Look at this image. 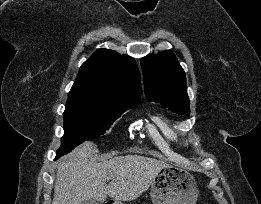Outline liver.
I'll use <instances>...</instances> for the list:
<instances>
[{"label":"liver","mask_w":261,"mask_h":204,"mask_svg":"<svg viewBox=\"0 0 261 204\" xmlns=\"http://www.w3.org/2000/svg\"><path fill=\"white\" fill-rule=\"evenodd\" d=\"M98 149L87 141L57 163L52 204H82L87 199L115 204L132 201L148 190L165 162L141 155H125L98 162ZM111 179L107 185L106 180Z\"/></svg>","instance_id":"6515ba94"}]
</instances>
